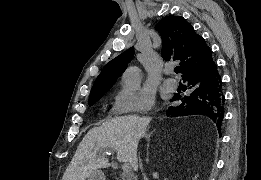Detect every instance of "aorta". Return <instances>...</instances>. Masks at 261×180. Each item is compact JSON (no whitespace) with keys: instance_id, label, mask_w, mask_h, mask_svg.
<instances>
[{"instance_id":"aorta-1","label":"aorta","mask_w":261,"mask_h":180,"mask_svg":"<svg viewBox=\"0 0 261 180\" xmlns=\"http://www.w3.org/2000/svg\"><path fill=\"white\" fill-rule=\"evenodd\" d=\"M141 71L138 67L128 68L123 74V84L125 88L135 89L139 85Z\"/></svg>"}]
</instances>
